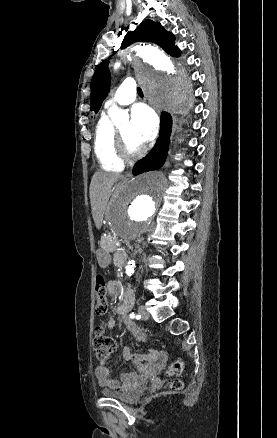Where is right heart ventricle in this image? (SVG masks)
I'll use <instances>...</instances> for the list:
<instances>
[{"instance_id": "e07e8e85", "label": "right heart ventricle", "mask_w": 277, "mask_h": 438, "mask_svg": "<svg viewBox=\"0 0 277 438\" xmlns=\"http://www.w3.org/2000/svg\"><path fill=\"white\" fill-rule=\"evenodd\" d=\"M113 130L109 114L104 113L96 126L94 149L101 167L106 171L118 173L123 170L124 163L114 149Z\"/></svg>"}]
</instances>
